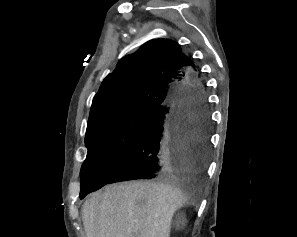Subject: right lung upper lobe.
I'll use <instances>...</instances> for the list:
<instances>
[{
    "label": "right lung upper lobe",
    "mask_w": 297,
    "mask_h": 237,
    "mask_svg": "<svg viewBox=\"0 0 297 237\" xmlns=\"http://www.w3.org/2000/svg\"><path fill=\"white\" fill-rule=\"evenodd\" d=\"M194 64L172 40L145 43L122 58L94 96L87 128L114 116L154 112L167 104L172 90L190 80Z\"/></svg>",
    "instance_id": "obj_1"
}]
</instances>
